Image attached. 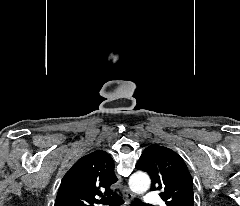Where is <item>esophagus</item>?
Instances as JSON below:
<instances>
[{
    "label": "esophagus",
    "mask_w": 240,
    "mask_h": 206,
    "mask_svg": "<svg viewBox=\"0 0 240 206\" xmlns=\"http://www.w3.org/2000/svg\"><path fill=\"white\" fill-rule=\"evenodd\" d=\"M123 193L128 202H131L134 200L135 195L130 191V189L128 187H126V186L124 187Z\"/></svg>",
    "instance_id": "obj_1"
}]
</instances>
